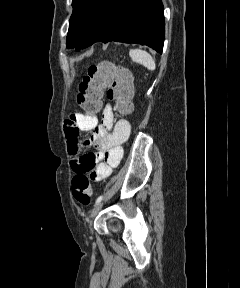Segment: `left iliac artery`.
I'll list each match as a JSON object with an SVG mask.
<instances>
[{"mask_svg":"<svg viewBox=\"0 0 240 288\" xmlns=\"http://www.w3.org/2000/svg\"><path fill=\"white\" fill-rule=\"evenodd\" d=\"M102 199H103V195H100V196L97 198V200H96V202H95V205H97L98 203H100V202L102 201Z\"/></svg>","mask_w":240,"mask_h":288,"instance_id":"44dca946","label":"left iliac artery"}]
</instances>
